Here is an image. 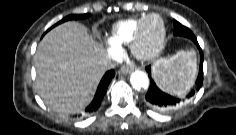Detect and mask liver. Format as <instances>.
<instances>
[{
  "label": "liver",
  "instance_id": "6515ba94",
  "mask_svg": "<svg viewBox=\"0 0 236 135\" xmlns=\"http://www.w3.org/2000/svg\"><path fill=\"white\" fill-rule=\"evenodd\" d=\"M107 58L83 25L75 21L58 25L44 36L34 56L39 96L56 112L81 111L106 72Z\"/></svg>",
  "mask_w": 236,
  "mask_h": 135
}]
</instances>
